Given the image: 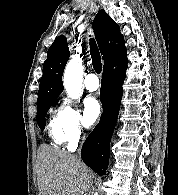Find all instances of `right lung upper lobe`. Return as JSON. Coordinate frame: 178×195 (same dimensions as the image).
Wrapping results in <instances>:
<instances>
[{
	"instance_id": "1",
	"label": "right lung upper lobe",
	"mask_w": 178,
	"mask_h": 195,
	"mask_svg": "<svg viewBox=\"0 0 178 195\" xmlns=\"http://www.w3.org/2000/svg\"><path fill=\"white\" fill-rule=\"evenodd\" d=\"M92 27L104 60L103 72L127 64L124 37L117 23L104 11L100 10L93 20ZM67 39L61 35L49 47L47 59L43 64L37 105L55 101L63 91L62 76L69 59Z\"/></svg>"
}]
</instances>
